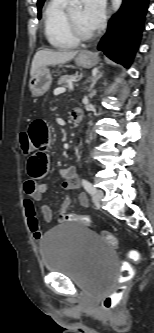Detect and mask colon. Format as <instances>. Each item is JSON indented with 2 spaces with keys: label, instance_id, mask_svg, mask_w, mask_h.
I'll use <instances>...</instances> for the list:
<instances>
[{
  "label": "colon",
  "instance_id": "1",
  "mask_svg": "<svg viewBox=\"0 0 154 333\" xmlns=\"http://www.w3.org/2000/svg\"><path fill=\"white\" fill-rule=\"evenodd\" d=\"M20 149L22 153L28 154L31 150V143L28 136V133H22L19 138ZM63 221H74L80 222L85 225L90 224V218L84 215L77 214H67L63 217ZM102 237L111 245L115 246L117 244V240L115 236L108 232L102 231ZM131 258L133 261H138L139 257L136 252L131 253ZM133 268L129 263H124L120 269V278L123 282L129 281L133 277ZM122 300V288H119L114 293L106 296L102 300V307L106 310H116L121 303Z\"/></svg>",
  "mask_w": 154,
  "mask_h": 333
}]
</instances>
